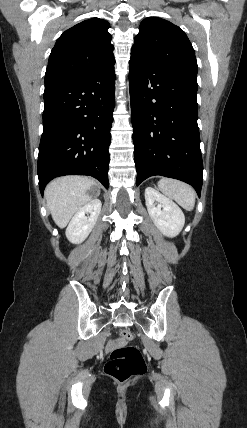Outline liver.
<instances>
[{"instance_id": "obj_1", "label": "liver", "mask_w": 247, "mask_h": 428, "mask_svg": "<svg viewBox=\"0 0 247 428\" xmlns=\"http://www.w3.org/2000/svg\"><path fill=\"white\" fill-rule=\"evenodd\" d=\"M98 183L86 176H65L54 179L45 189L47 207L59 228H64L83 206L92 200L87 191Z\"/></svg>"}]
</instances>
